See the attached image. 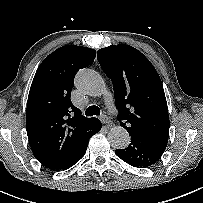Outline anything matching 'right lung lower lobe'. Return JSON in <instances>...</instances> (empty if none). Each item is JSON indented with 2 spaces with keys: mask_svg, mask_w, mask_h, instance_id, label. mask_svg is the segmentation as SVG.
I'll return each mask as SVG.
<instances>
[{
  "mask_svg": "<svg viewBox=\"0 0 203 203\" xmlns=\"http://www.w3.org/2000/svg\"><path fill=\"white\" fill-rule=\"evenodd\" d=\"M101 127H102L101 122L99 120H97L91 134L85 139V141L81 145L80 149L75 154L74 158L68 163V165L64 169L70 168L71 166L76 164L84 156L90 137L92 135H94L95 133H97L98 131H100Z\"/></svg>",
  "mask_w": 203,
  "mask_h": 203,
  "instance_id": "obj_1",
  "label": "right lung lower lobe"
}]
</instances>
